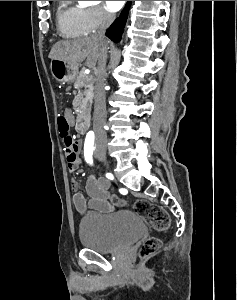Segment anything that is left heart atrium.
<instances>
[{
  "label": "left heart atrium",
  "mask_w": 237,
  "mask_h": 300,
  "mask_svg": "<svg viewBox=\"0 0 237 300\" xmlns=\"http://www.w3.org/2000/svg\"><path fill=\"white\" fill-rule=\"evenodd\" d=\"M124 3L125 1H105L106 8L112 12L120 10Z\"/></svg>",
  "instance_id": "obj_1"
}]
</instances>
